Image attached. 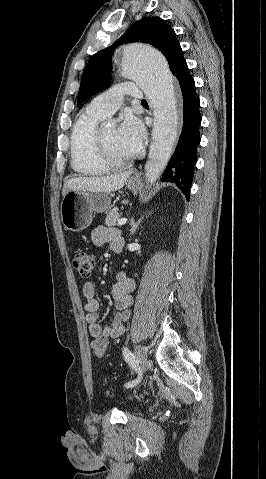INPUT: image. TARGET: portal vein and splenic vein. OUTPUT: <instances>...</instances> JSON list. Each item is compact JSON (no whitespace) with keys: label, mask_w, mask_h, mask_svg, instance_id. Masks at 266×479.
Wrapping results in <instances>:
<instances>
[{"label":"portal vein and splenic vein","mask_w":266,"mask_h":479,"mask_svg":"<svg viewBox=\"0 0 266 479\" xmlns=\"http://www.w3.org/2000/svg\"><path fill=\"white\" fill-rule=\"evenodd\" d=\"M126 222H127L126 218H121L120 220H118V225L119 226L124 225V224H126Z\"/></svg>","instance_id":"portal-vein-and-splenic-vein-1"}]
</instances>
